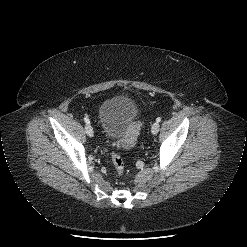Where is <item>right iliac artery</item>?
I'll list each match as a JSON object with an SVG mask.
<instances>
[{"mask_svg": "<svg viewBox=\"0 0 247 247\" xmlns=\"http://www.w3.org/2000/svg\"><path fill=\"white\" fill-rule=\"evenodd\" d=\"M84 121L87 123V124H90V121L87 117L84 118Z\"/></svg>", "mask_w": 247, "mask_h": 247, "instance_id": "1", "label": "right iliac artery"}]
</instances>
